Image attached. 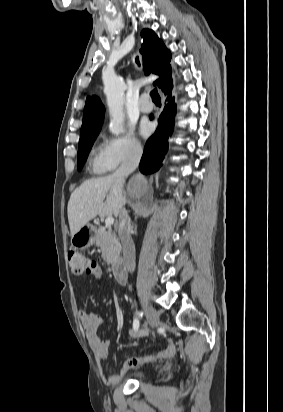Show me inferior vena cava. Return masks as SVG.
I'll return each mask as SVG.
<instances>
[{
    "mask_svg": "<svg viewBox=\"0 0 283 412\" xmlns=\"http://www.w3.org/2000/svg\"><path fill=\"white\" fill-rule=\"evenodd\" d=\"M142 148L135 146L129 150L120 167L113 173V177L124 183L125 178L131 174L140 162ZM118 235L122 244L125 267L128 272L135 270V246L131 238V219L128 211L122 207L119 213Z\"/></svg>",
    "mask_w": 283,
    "mask_h": 412,
    "instance_id": "602c4592",
    "label": "inferior vena cava"
}]
</instances>
